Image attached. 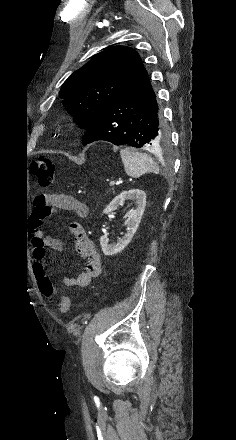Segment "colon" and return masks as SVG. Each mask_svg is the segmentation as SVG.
Listing matches in <instances>:
<instances>
[{"label": "colon", "instance_id": "1", "mask_svg": "<svg viewBox=\"0 0 236 440\" xmlns=\"http://www.w3.org/2000/svg\"><path fill=\"white\" fill-rule=\"evenodd\" d=\"M54 163L48 157H39L33 165V176L36 182L42 187H48L54 176ZM39 290L43 295L52 299L55 296V288L48 278L39 284ZM58 310L63 314H68L71 310V301L68 296L62 295L57 299Z\"/></svg>", "mask_w": 236, "mask_h": 440}]
</instances>
